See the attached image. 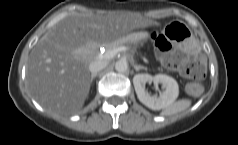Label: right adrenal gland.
I'll use <instances>...</instances> for the list:
<instances>
[{"instance_id":"2a0ac1e0","label":"right adrenal gland","mask_w":238,"mask_h":145,"mask_svg":"<svg viewBox=\"0 0 238 145\" xmlns=\"http://www.w3.org/2000/svg\"><path fill=\"white\" fill-rule=\"evenodd\" d=\"M97 76V74H92L91 75V78H90V82L92 83L93 82V79Z\"/></svg>"}]
</instances>
